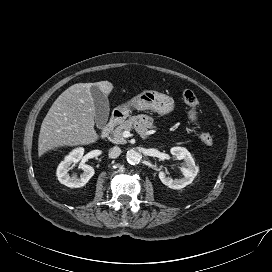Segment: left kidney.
Returning <instances> with one entry per match:
<instances>
[{"label": "left kidney", "mask_w": 272, "mask_h": 272, "mask_svg": "<svg viewBox=\"0 0 272 272\" xmlns=\"http://www.w3.org/2000/svg\"><path fill=\"white\" fill-rule=\"evenodd\" d=\"M171 154L178 160H184L181 171L184 175L183 178L172 179L166 176L163 171H160L158 176L161 182L171 189H182L191 184L194 178L199 172V168L196 166L193 157L190 152L183 147H173L170 150Z\"/></svg>", "instance_id": "left-kidney-1"}]
</instances>
